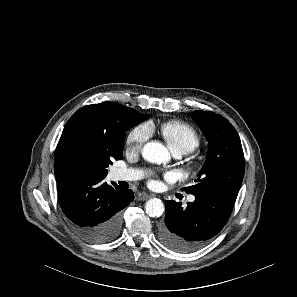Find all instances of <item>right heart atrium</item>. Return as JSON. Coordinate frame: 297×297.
Segmentation results:
<instances>
[{"label":"right heart atrium","mask_w":297,"mask_h":297,"mask_svg":"<svg viewBox=\"0 0 297 297\" xmlns=\"http://www.w3.org/2000/svg\"><path fill=\"white\" fill-rule=\"evenodd\" d=\"M151 135L150 127L146 124H141L128 134L126 143L129 150L140 151L144 143Z\"/></svg>","instance_id":"d8ad5b80"}]
</instances>
